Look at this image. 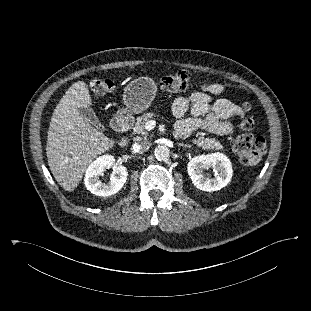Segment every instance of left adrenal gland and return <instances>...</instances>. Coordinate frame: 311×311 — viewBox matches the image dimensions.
I'll list each match as a JSON object with an SVG mask.
<instances>
[{"instance_id": "1", "label": "left adrenal gland", "mask_w": 311, "mask_h": 311, "mask_svg": "<svg viewBox=\"0 0 311 311\" xmlns=\"http://www.w3.org/2000/svg\"><path fill=\"white\" fill-rule=\"evenodd\" d=\"M178 146H183V147L191 148V145H187V144H184V143H179Z\"/></svg>"}]
</instances>
